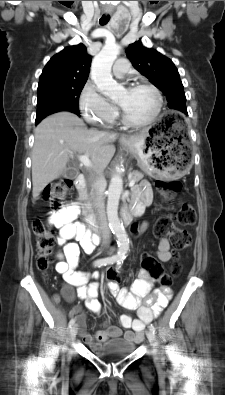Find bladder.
I'll return each mask as SVG.
<instances>
[{
  "label": "bladder",
  "mask_w": 225,
  "mask_h": 395,
  "mask_svg": "<svg viewBox=\"0 0 225 395\" xmlns=\"http://www.w3.org/2000/svg\"><path fill=\"white\" fill-rule=\"evenodd\" d=\"M136 345L124 338H115L101 345H93V353L102 359H113L132 354Z\"/></svg>",
  "instance_id": "obj_1"
}]
</instances>
